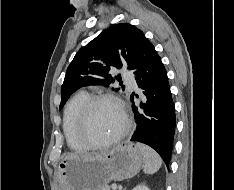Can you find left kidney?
<instances>
[{"label":"left kidney","mask_w":234,"mask_h":190,"mask_svg":"<svg viewBox=\"0 0 234 190\" xmlns=\"http://www.w3.org/2000/svg\"><path fill=\"white\" fill-rule=\"evenodd\" d=\"M133 190H149V188L144 184H140L134 187Z\"/></svg>","instance_id":"5707ae66"}]
</instances>
